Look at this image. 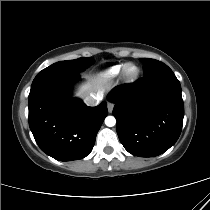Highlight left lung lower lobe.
<instances>
[{
    "instance_id": "1",
    "label": "left lung lower lobe",
    "mask_w": 210,
    "mask_h": 210,
    "mask_svg": "<svg viewBox=\"0 0 210 210\" xmlns=\"http://www.w3.org/2000/svg\"><path fill=\"white\" fill-rule=\"evenodd\" d=\"M115 103L117 134L124 148L140 157L167 151L180 136L184 105L180 82L165 66L108 95Z\"/></svg>"
}]
</instances>
